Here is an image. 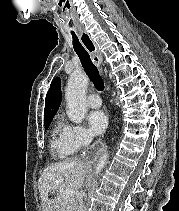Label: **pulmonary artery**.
Segmentation results:
<instances>
[{"instance_id":"1","label":"pulmonary artery","mask_w":179,"mask_h":211,"mask_svg":"<svg viewBox=\"0 0 179 211\" xmlns=\"http://www.w3.org/2000/svg\"><path fill=\"white\" fill-rule=\"evenodd\" d=\"M87 103L92 108H99L102 104L100 96L95 93L88 96Z\"/></svg>"}]
</instances>
